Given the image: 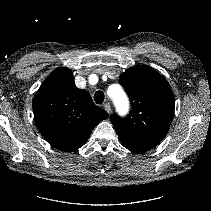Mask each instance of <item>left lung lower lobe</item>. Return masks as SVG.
I'll use <instances>...</instances> for the list:
<instances>
[{"instance_id": "obj_1", "label": "left lung lower lobe", "mask_w": 211, "mask_h": 211, "mask_svg": "<svg viewBox=\"0 0 211 211\" xmlns=\"http://www.w3.org/2000/svg\"><path fill=\"white\" fill-rule=\"evenodd\" d=\"M124 147L133 153H143L149 150V149H144V148H139V147H130V146H125V145Z\"/></svg>"}]
</instances>
